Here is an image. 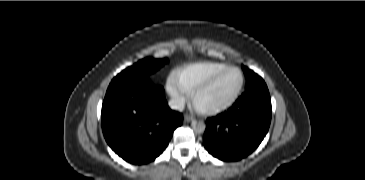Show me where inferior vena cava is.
I'll list each match as a JSON object with an SVG mask.
<instances>
[{
    "label": "inferior vena cava",
    "instance_id": "602c4592",
    "mask_svg": "<svg viewBox=\"0 0 365 180\" xmlns=\"http://www.w3.org/2000/svg\"><path fill=\"white\" fill-rule=\"evenodd\" d=\"M169 107L173 110H179V111H183L184 106H185V101L182 97H173L169 100L168 102Z\"/></svg>",
    "mask_w": 365,
    "mask_h": 180
}]
</instances>
